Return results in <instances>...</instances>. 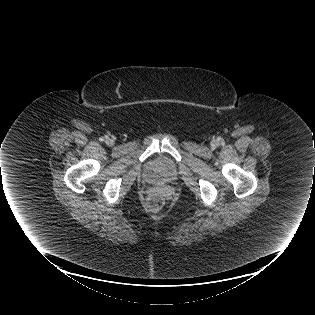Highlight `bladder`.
<instances>
[{"mask_svg": "<svg viewBox=\"0 0 315 315\" xmlns=\"http://www.w3.org/2000/svg\"><path fill=\"white\" fill-rule=\"evenodd\" d=\"M176 169L166 159L158 158L152 161L146 169V178L150 181H170L174 178Z\"/></svg>", "mask_w": 315, "mask_h": 315, "instance_id": "1", "label": "bladder"}]
</instances>
